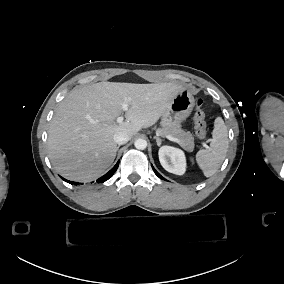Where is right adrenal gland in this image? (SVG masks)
Segmentation results:
<instances>
[{
    "mask_svg": "<svg viewBox=\"0 0 284 284\" xmlns=\"http://www.w3.org/2000/svg\"><path fill=\"white\" fill-rule=\"evenodd\" d=\"M119 148H120V145H118V147H117V151L119 150Z\"/></svg>",
    "mask_w": 284,
    "mask_h": 284,
    "instance_id": "2a0ac1e0",
    "label": "right adrenal gland"
}]
</instances>
